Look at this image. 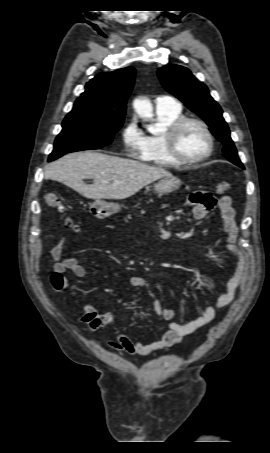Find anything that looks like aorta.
I'll use <instances>...</instances> for the list:
<instances>
[{
	"instance_id": "1",
	"label": "aorta",
	"mask_w": 270,
	"mask_h": 453,
	"mask_svg": "<svg viewBox=\"0 0 270 453\" xmlns=\"http://www.w3.org/2000/svg\"><path fill=\"white\" fill-rule=\"evenodd\" d=\"M133 107L139 116L143 118L153 117V107L149 101L143 99H136L133 102Z\"/></svg>"
}]
</instances>
